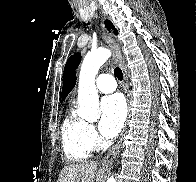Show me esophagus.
<instances>
[{"mask_svg": "<svg viewBox=\"0 0 196 182\" xmlns=\"http://www.w3.org/2000/svg\"><path fill=\"white\" fill-rule=\"evenodd\" d=\"M104 38L107 42V44L110 46V48L113 50V53L116 57L117 62L119 63V66L122 69L123 72V83H124V89L127 95V100H128V104L130 103L129 100V87H128V77H127V72H126V68L121 56V52L119 49V46L117 45L115 39L113 38L112 34L108 33L107 31H104ZM127 128V121L123 127L122 133H121V137L118 140V142L112 147V149L109 151V153L102 159L101 161V165H108L111 164L113 162V160L117 157L118 153H119V149H120V144H121V139L122 136L124 135V132L126 131Z\"/></svg>", "mask_w": 196, "mask_h": 182, "instance_id": "34e87169", "label": "esophagus"}]
</instances>
